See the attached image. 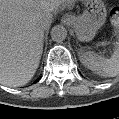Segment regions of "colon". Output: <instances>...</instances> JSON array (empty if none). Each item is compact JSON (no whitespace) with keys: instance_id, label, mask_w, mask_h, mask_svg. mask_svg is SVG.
Instances as JSON below:
<instances>
[{"instance_id":"colon-1","label":"colon","mask_w":119,"mask_h":119,"mask_svg":"<svg viewBox=\"0 0 119 119\" xmlns=\"http://www.w3.org/2000/svg\"><path fill=\"white\" fill-rule=\"evenodd\" d=\"M110 21L114 28L119 26V7L115 6L110 11Z\"/></svg>"}]
</instances>
